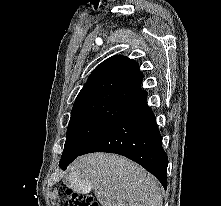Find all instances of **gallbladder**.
I'll return each mask as SVG.
<instances>
[{
	"label": "gallbladder",
	"mask_w": 221,
	"mask_h": 206,
	"mask_svg": "<svg viewBox=\"0 0 221 206\" xmlns=\"http://www.w3.org/2000/svg\"><path fill=\"white\" fill-rule=\"evenodd\" d=\"M65 186H70V190H76V194H89L87 181H65Z\"/></svg>",
	"instance_id": "bac80fb5"
}]
</instances>
